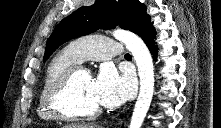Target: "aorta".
<instances>
[{"label":"aorta","instance_id":"762f6f07","mask_svg":"<svg viewBox=\"0 0 221 128\" xmlns=\"http://www.w3.org/2000/svg\"><path fill=\"white\" fill-rule=\"evenodd\" d=\"M113 37L126 45L138 67L140 91L129 128H140L151 104L154 91V67L151 54L143 40L132 32L115 30Z\"/></svg>","mask_w":221,"mask_h":128}]
</instances>
